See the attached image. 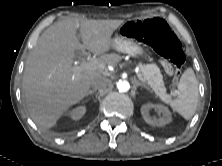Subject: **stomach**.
<instances>
[{
	"label": "stomach",
	"mask_w": 222,
	"mask_h": 166,
	"mask_svg": "<svg viewBox=\"0 0 222 166\" xmlns=\"http://www.w3.org/2000/svg\"><path fill=\"white\" fill-rule=\"evenodd\" d=\"M112 47L134 58L144 54V49L136 41H131L127 36L121 34L112 39Z\"/></svg>",
	"instance_id": "obj_1"
}]
</instances>
